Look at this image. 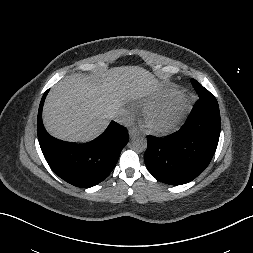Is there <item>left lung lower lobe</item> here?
<instances>
[{"label": "left lung lower lobe", "instance_id": "1", "mask_svg": "<svg viewBox=\"0 0 253 253\" xmlns=\"http://www.w3.org/2000/svg\"><path fill=\"white\" fill-rule=\"evenodd\" d=\"M199 95L181 129L164 138L148 136L145 164L159 181L181 185L195 179L209 165L220 135L217 100L207 98L205 89L191 80Z\"/></svg>", "mask_w": 253, "mask_h": 253}]
</instances>
